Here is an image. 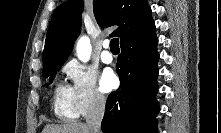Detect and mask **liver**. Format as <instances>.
Wrapping results in <instances>:
<instances>
[{
    "label": "liver",
    "mask_w": 221,
    "mask_h": 133,
    "mask_svg": "<svg viewBox=\"0 0 221 133\" xmlns=\"http://www.w3.org/2000/svg\"><path fill=\"white\" fill-rule=\"evenodd\" d=\"M42 133H91L85 123H68L64 125L48 124Z\"/></svg>",
    "instance_id": "obj_1"
}]
</instances>
